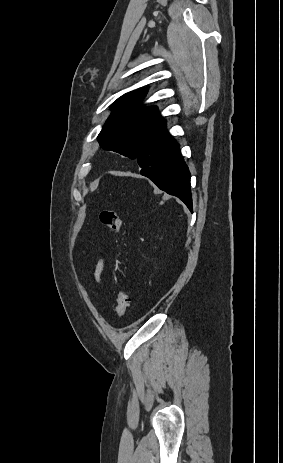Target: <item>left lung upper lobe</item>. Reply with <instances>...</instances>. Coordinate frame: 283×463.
<instances>
[{
	"mask_svg": "<svg viewBox=\"0 0 283 463\" xmlns=\"http://www.w3.org/2000/svg\"><path fill=\"white\" fill-rule=\"evenodd\" d=\"M147 89L129 92L118 98L112 114L98 135L100 146L131 159H137L153 138L165 127L156 107H145L141 100Z\"/></svg>",
	"mask_w": 283,
	"mask_h": 463,
	"instance_id": "obj_1",
	"label": "left lung upper lobe"
}]
</instances>
